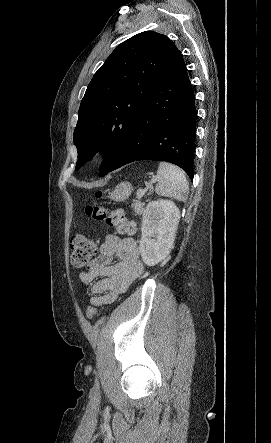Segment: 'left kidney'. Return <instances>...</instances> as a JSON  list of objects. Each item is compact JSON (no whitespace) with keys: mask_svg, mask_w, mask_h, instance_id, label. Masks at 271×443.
Wrapping results in <instances>:
<instances>
[{"mask_svg":"<svg viewBox=\"0 0 271 443\" xmlns=\"http://www.w3.org/2000/svg\"><path fill=\"white\" fill-rule=\"evenodd\" d=\"M180 212L170 200L149 202L142 220L140 251L146 265H156L170 253Z\"/></svg>","mask_w":271,"mask_h":443,"instance_id":"5707ae66","label":"left kidney"}]
</instances>
